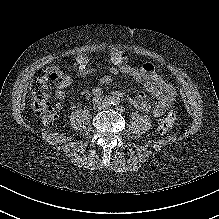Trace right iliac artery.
Instances as JSON below:
<instances>
[{
  "label": "right iliac artery",
  "mask_w": 219,
  "mask_h": 219,
  "mask_svg": "<svg viewBox=\"0 0 219 219\" xmlns=\"http://www.w3.org/2000/svg\"><path fill=\"white\" fill-rule=\"evenodd\" d=\"M105 102L108 103V104H110V105H114V103H115V98L112 97V96H107V97L105 98Z\"/></svg>",
  "instance_id": "82829eb1"
}]
</instances>
